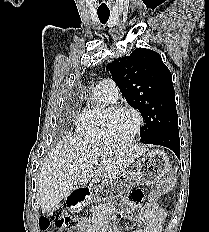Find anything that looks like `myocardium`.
Segmentation results:
<instances>
[{"label": "myocardium", "mask_w": 209, "mask_h": 232, "mask_svg": "<svg viewBox=\"0 0 209 232\" xmlns=\"http://www.w3.org/2000/svg\"><path fill=\"white\" fill-rule=\"evenodd\" d=\"M124 110L130 111L135 115L137 124L132 134H130L127 137L120 138V137L114 136L111 131V119L116 113L120 111H124ZM142 126H143V117L141 113L135 107L130 106V105H123V104L122 105H111L105 110L104 115H103V130H104V134L106 138L108 139V141L129 142L135 138V136L141 130Z\"/></svg>", "instance_id": "1"}]
</instances>
